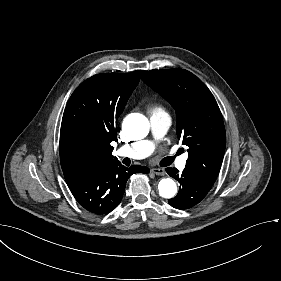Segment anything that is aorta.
Returning a JSON list of instances; mask_svg holds the SVG:
<instances>
[{
  "label": "aorta",
  "mask_w": 281,
  "mask_h": 281,
  "mask_svg": "<svg viewBox=\"0 0 281 281\" xmlns=\"http://www.w3.org/2000/svg\"><path fill=\"white\" fill-rule=\"evenodd\" d=\"M123 128L130 137L139 140L149 133V121L144 115L133 113L125 118ZM158 190L161 197L170 199L176 195L177 186L173 179L164 178L159 182Z\"/></svg>",
  "instance_id": "762f6f07"
}]
</instances>
